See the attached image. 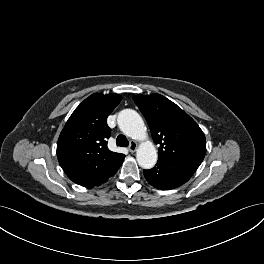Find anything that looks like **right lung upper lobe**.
<instances>
[{
	"label": "right lung upper lobe",
	"instance_id": "1",
	"mask_svg": "<svg viewBox=\"0 0 264 264\" xmlns=\"http://www.w3.org/2000/svg\"><path fill=\"white\" fill-rule=\"evenodd\" d=\"M121 99L118 94H92L65 124L57 143V158L76 184L98 176L125 157L107 148L111 130L106 120Z\"/></svg>",
	"mask_w": 264,
	"mask_h": 264
}]
</instances>
